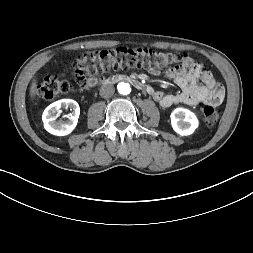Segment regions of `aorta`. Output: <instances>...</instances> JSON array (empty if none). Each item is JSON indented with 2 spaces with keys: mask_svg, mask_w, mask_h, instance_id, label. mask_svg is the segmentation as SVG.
Here are the masks:
<instances>
[{
  "mask_svg": "<svg viewBox=\"0 0 253 253\" xmlns=\"http://www.w3.org/2000/svg\"><path fill=\"white\" fill-rule=\"evenodd\" d=\"M118 92L122 95H127L131 92L129 83L121 82L117 85Z\"/></svg>",
  "mask_w": 253,
  "mask_h": 253,
  "instance_id": "1",
  "label": "aorta"
}]
</instances>
